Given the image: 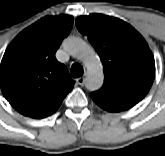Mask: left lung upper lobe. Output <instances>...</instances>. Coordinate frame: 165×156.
Instances as JSON below:
<instances>
[{"label": "left lung upper lobe", "instance_id": "obj_1", "mask_svg": "<svg viewBox=\"0 0 165 156\" xmlns=\"http://www.w3.org/2000/svg\"><path fill=\"white\" fill-rule=\"evenodd\" d=\"M75 24L103 63L104 84L91 96L118 111L135 106L155 77L154 57L145 39L123 20L102 14L77 17Z\"/></svg>", "mask_w": 165, "mask_h": 156}]
</instances>
